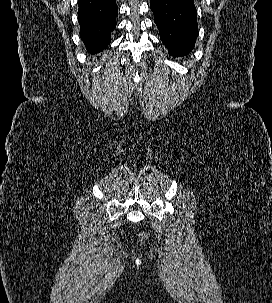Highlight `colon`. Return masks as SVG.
I'll list each match as a JSON object with an SVG mask.
<instances>
[{"instance_id": "obj_1", "label": "colon", "mask_w": 272, "mask_h": 303, "mask_svg": "<svg viewBox=\"0 0 272 303\" xmlns=\"http://www.w3.org/2000/svg\"><path fill=\"white\" fill-rule=\"evenodd\" d=\"M139 237L142 238V239H144V238H146V234L144 232H140L139 233Z\"/></svg>"}]
</instances>
